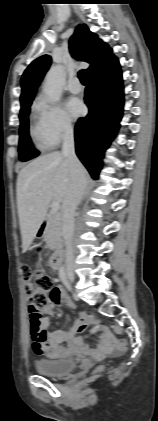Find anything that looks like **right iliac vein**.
I'll return each instance as SVG.
<instances>
[{"label":"right iliac vein","mask_w":158,"mask_h":421,"mask_svg":"<svg viewBox=\"0 0 158 421\" xmlns=\"http://www.w3.org/2000/svg\"><path fill=\"white\" fill-rule=\"evenodd\" d=\"M67 275L72 282L75 280L73 268H71V267L67 268Z\"/></svg>","instance_id":"obj_1"}]
</instances>
